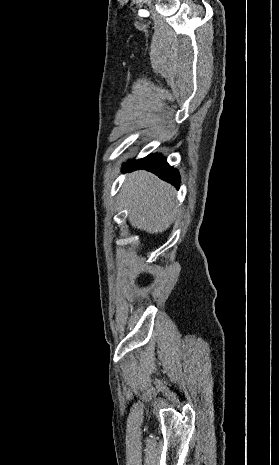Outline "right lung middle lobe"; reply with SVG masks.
I'll return each instance as SVG.
<instances>
[{
    "instance_id": "dd1d6c3e",
    "label": "right lung middle lobe",
    "mask_w": 279,
    "mask_h": 465,
    "mask_svg": "<svg viewBox=\"0 0 279 465\" xmlns=\"http://www.w3.org/2000/svg\"><path fill=\"white\" fill-rule=\"evenodd\" d=\"M160 156L161 155H159V154H150V155L146 156L145 158L140 159L138 161L133 160L128 165H132V164H148V163L152 162L153 160L157 159ZM124 166H126V164Z\"/></svg>"
}]
</instances>
